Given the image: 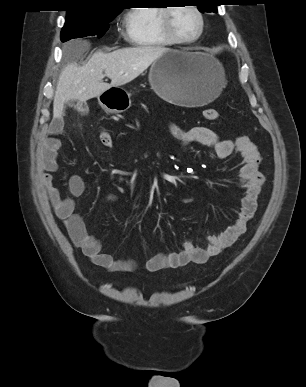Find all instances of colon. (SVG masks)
<instances>
[{
    "label": "colon",
    "mask_w": 306,
    "mask_h": 387,
    "mask_svg": "<svg viewBox=\"0 0 306 387\" xmlns=\"http://www.w3.org/2000/svg\"><path fill=\"white\" fill-rule=\"evenodd\" d=\"M203 116L207 121H216L219 117V113L215 109H205L203 111ZM99 141L103 146L109 147L112 145L111 134L106 130H101L99 133Z\"/></svg>",
    "instance_id": "5ec220e1"
}]
</instances>
